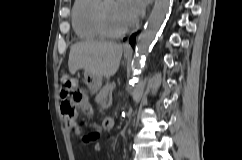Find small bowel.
Here are the masks:
<instances>
[{
	"label": "small bowel",
	"instance_id": "obj_1",
	"mask_svg": "<svg viewBox=\"0 0 242 160\" xmlns=\"http://www.w3.org/2000/svg\"><path fill=\"white\" fill-rule=\"evenodd\" d=\"M66 104V102H62L61 104V112H62V107ZM87 108V104L86 102L82 104L81 106V109L84 110ZM63 114V113H62ZM64 116V115H63ZM64 119H65V123L68 125V126H72L75 122V119H71V118H67L64 116Z\"/></svg>",
	"mask_w": 242,
	"mask_h": 160
}]
</instances>
